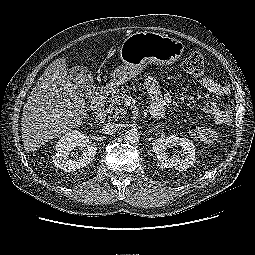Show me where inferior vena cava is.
<instances>
[{"instance_id":"602c4592","label":"inferior vena cava","mask_w":255,"mask_h":255,"mask_svg":"<svg viewBox=\"0 0 255 255\" xmlns=\"http://www.w3.org/2000/svg\"><path fill=\"white\" fill-rule=\"evenodd\" d=\"M119 126L120 125L117 124V123H107L103 127V133L108 134V135H112L119 129Z\"/></svg>"}]
</instances>
